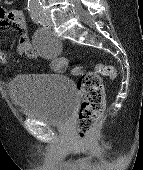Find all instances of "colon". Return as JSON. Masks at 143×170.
<instances>
[{"label": "colon", "instance_id": "colon-1", "mask_svg": "<svg viewBox=\"0 0 143 170\" xmlns=\"http://www.w3.org/2000/svg\"><path fill=\"white\" fill-rule=\"evenodd\" d=\"M66 59L59 60L58 72L66 69ZM72 75L78 77V90L81 97V106L77 119V132L82 140H87L94 126L101 120L105 99L103 77L115 78L116 71L110 65L96 63L91 71L81 66H76L71 71Z\"/></svg>", "mask_w": 143, "mask_h": 170}]
</instances>
